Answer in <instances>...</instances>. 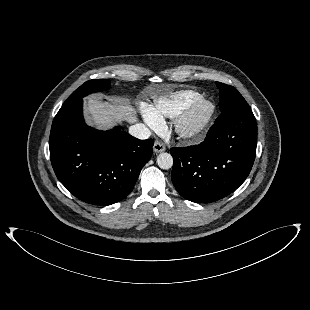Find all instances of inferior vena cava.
<instances>
[{
  "mask_svg": "<svg viewBox=\"0 0 310 310\" xmlns=\"http://www.w3.org/2000/svg\"><path fill=\"white\" fill-rule=\"evenodd\" d=\"M129 133L141 140L148 139L151 136V131L144 124H135L129 127Z\"/></svg>",
  "mask_w": 310,
  "mask_h": 310,
  "instance_id": "602c4592",
  "label": "inferior vena cava"
}]
</instances>
